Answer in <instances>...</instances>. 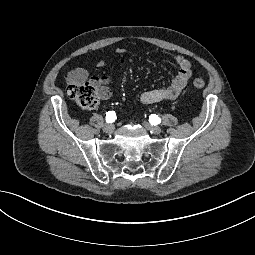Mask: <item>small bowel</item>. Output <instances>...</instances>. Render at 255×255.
Instances as JSON below:
<instances>
[{"label": "small bowel", "mask_w": 255, "mask_h": 255, "mask_svg": "<svg viewBox=\"0 0 255 255\" xmlns=\"http://www.w3.org/2000/svg\"><path fill=\"white\" fill-rule=\"evenodd\" d=\"M126 52L123 48L116 49V54L123 55ZM174 61L178 66V71L171 80V82L162 87L153 90L142 92L139 95V100L143 104H153L161 101L176 99L183 89L186 87L188 80L192 75L191 63L188 59L181 55L174 56ZM105 64L104 60L97 63L98 68H102ZM119 64L124 66V60L120 59ZM112 81L111 75L91 76L90 72L83 67H77L69 71L67 75V83L69 85H80L90 82L98 90L102 99H108L111 96L109 84Z\"/></svg>", "instance_id": "1"}]
</instances>
